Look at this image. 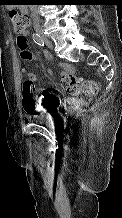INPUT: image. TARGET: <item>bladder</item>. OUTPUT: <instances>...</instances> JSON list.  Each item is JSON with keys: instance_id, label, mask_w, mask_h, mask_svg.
Returning <instances> with one entry per match:
<instances>
[{"instance_id": "1", "label": "bladder", "mask_w": 122, "mask_h": 218, "mask_svg": "<svg viewBox=\"0 0 122 218\" xmlns=\"http://www.w3.org/2000/svg\"><path fill=\"white\" fill-rule=\"evenodd\" d=\"M45 119V115L43 114H33L31 117H30V120L32 122H37V123H40L42 120Z\"/></svg>"}]
</instances>
